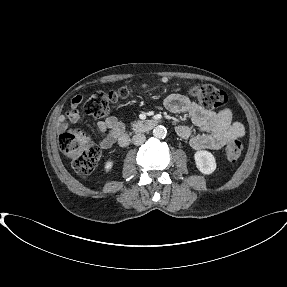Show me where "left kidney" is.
<instances>
[{
	"instance_id": "obj_1",
	"label": "left kidney",
	"mask_w": 287,
	"mask_h": 287,
	"mask_svg": "<svg viewBox=\"0 0 287 287\" xmlns=\"http://www.w3.org/2000/svg\"><path fill=\"white\" fill-rule=\"evenodd\" d=\"M194 159L198 170L203 174H211L216 169V160L213 154L206 150L197 151Z\"/></svg>"
}]
</instances>
